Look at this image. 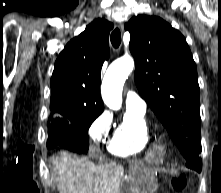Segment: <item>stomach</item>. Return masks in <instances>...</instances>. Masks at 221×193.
Listing matches in <instances>:
<instances>
[{"mask_svg":"<svg viewBox=\"0 0 221 193\" xmlns=\"http://www.w3.org/2000/svg\"><path fill=\"white\" fill-rule=\"evenodd\" d=\"M166 155V150H148L146 158L148 162H130L127 181L123 193H151L154 189V182L159 179V174H153L154 167H163L160 159Z\"/></svg>","mask_w":221,"mask_h":193,"instance_id":"1","label":"stomach"}]
</instances>
